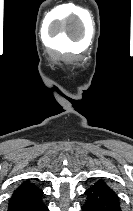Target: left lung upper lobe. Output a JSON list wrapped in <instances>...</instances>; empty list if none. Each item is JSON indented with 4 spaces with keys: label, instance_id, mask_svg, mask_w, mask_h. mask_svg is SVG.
Segmentation results:
<instances>
[{
    "label": "left lung upper lobe",
    "instance_id": "left-lung-upper-lobe-1",
    "mask_svg": "<svg viewBox=\"0 0 133 211\" xmlns=\"http://www.w3.org/2000/svg\"><path fill=\"white\" fill-rule=\"evenodd\" d=\"M94 186H99V187L111 189L103 180L96 182Z\"/></svg>",
    "mask_w": 133,
    "mask_h": 211
}]
</instances>
